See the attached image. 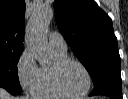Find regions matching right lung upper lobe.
<instances>
[{
    "mask_svg": "<svg viewBox=\"0 0 128 99\" xmlns=\"http://www.w3.org/2000/svg\"><path fill=\"white\" fill-rule=\"evenodd\" d=\"M24 0H0V47L23 49Z\"/></svg>",
    "mask_w": 128,
    "mask_h": 99,
    "instance_id": "right-lung-upper-lobe-1",
    "label": "right lung upper lobe"
}]
</instances>
